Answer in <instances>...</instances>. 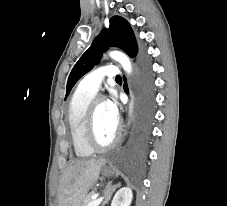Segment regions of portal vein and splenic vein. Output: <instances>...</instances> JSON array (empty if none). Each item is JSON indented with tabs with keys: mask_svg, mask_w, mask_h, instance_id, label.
Masks as SVG:
<instances>
[{
	"mask_svg": "<svg viewBox=\"0 0 227 206\" xmlns=\"http://www.w3.org/2000/svg\"><path fill=\"white\" fill-rule=\"evenodd\" d=\"M102 201H103V197H99V198H98V194H97V195H95V199L92 200V201L88 204V206H99L100 203H101Z\"/></svg>",
	"mask_w": 227,
	"mask_h": 206,
	"instance_id": "portal-vein-and-splenic-vein-1",
	"label": "portal vein and splenic vein"
}]
</instances>
